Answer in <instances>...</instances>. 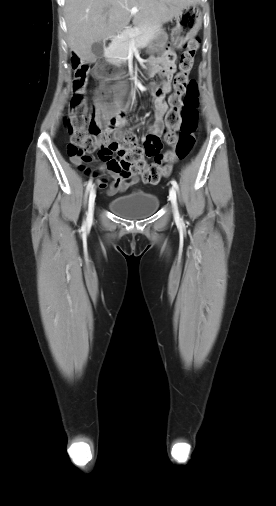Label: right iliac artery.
<instances>
[{
  "instance_id": "right-iliac-artery-1",
  "label": "right iliac artery",
  "mask_w": 276,
  "mask_h": 506,
  "mask_svg": "<svg viewBox=\"0 0 276 506\" xmlns=\"http://www.w3.org/2000/svg\"><path fill=\"white\" fill-rule=\"evenodd\" d=\"M91 188H92V179H90L87 183L86 192L88 193Z\"/></svg>"
}]
</instances>
